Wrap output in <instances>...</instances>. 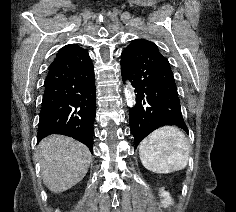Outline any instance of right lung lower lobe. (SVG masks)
Returning <instances> with one entry per match:
<instances>
[{"instance_id":"1","label":"right lung lower lobe","mask_w":236,"mask_h":212,"mask_svg":"<svg viewBox=\"0 0 236 212\" xmlns=\"http://www.w3.org/2000/svg\"><path fill=\"white\" fill-rule=\"evenodd\" d=\"M94 67L88 52L77 46L56 57L44 82L37 141L59 133L93 151L96 113Z\"/></svg>"}]
</instances>
